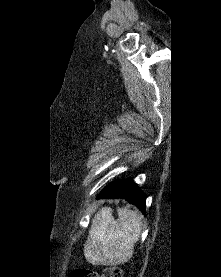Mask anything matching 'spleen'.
I'll use <instances>...</instances> for the list:
<instances>
[{"instance_id":"spleen-1","label":"spleen","mask_w":221,"mask_h":277,"mask_svg":"<svg viewBox=\"0 0 221 277\" xmlns=\"http://www.w3.org/2000/svg\"><path fill=\"white\" fill-rule=\"evenodd\" d=\"M118 220L109 210H101L93 219L84 245L88 262L102 265L126 263L133 255L141 233V218L135 211L118 208Z\"/></svg>"}]
</instances>
